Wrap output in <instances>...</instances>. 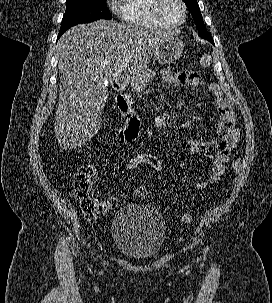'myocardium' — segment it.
<instances>
[{
	"instance_id": "obj_1",
	"label": "myocardium",
	"mask_w": 272,
	"mask_h": 303,
	"mask_svg": "<svg viewBox=\"0 0 272 303\" xmlns=\"http://www.w3.org/2000/svg\"><path fill=\"white\" fill-rule=\"evenodd\" d=\"M164 2V0H154V4H153V15L155 17V19L162 25V27L167 28V29H175L180 27L186 20V16H187V7L186 4L183 0H177V2L179 3V5L181 6L182 9V17L181 19L175 23V24H170L167 23L161 14V7H162V3Z\"/></svg>"
}]
</instances>
